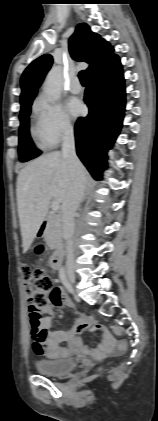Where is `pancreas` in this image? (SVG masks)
<instances>
[{
    "mask_svg": "<svg viewBox=\"0 0 158 421\" xmlns=\"http://www.w3.org/2000/svg\"><path fill=\"white\" fill-rule=\"evenodd\" d=\"M61 216L54 212H51L48 216V223L44 232V238L47 246L50 249H56L61 245Z\"/></svg>",
    "mask_w": 158,
    "mask_h": 421,
    "instance_id": "1",
    "label": "pancreas"
}]
</instances>
